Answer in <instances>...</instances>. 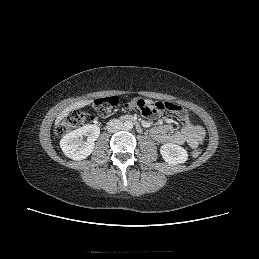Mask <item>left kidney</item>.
I'll return each mask as SVG.
<instances>
[{"instance_id":"1","label":"left kidney","mask_w":259,"mask_h":259,"mask_svg":"<svg viewBox=\"0 0 259 259\" xmlns=\"http://www.w3.org/2000/svg\"><path fill=\"white\" fill-rule=\"evenodd\" d=\"M160 153L165 162L172 165L185 163L188 159L187 151L183 147L172 143L162 145Z\"/></svg>"}]
</instances>
